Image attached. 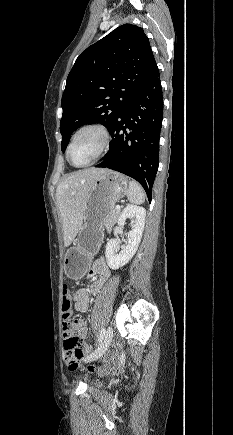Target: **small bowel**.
Segmentation results:
<instances>
[{
    "label": "small bowel",
    "instance_id": "c3829d8e",
    "mask_svg": "<svg viewBox=\"0 0 233 435\" xmlns=\"http://www.w3.org/2000/svg\"><path fill=\"white\" fill-rule=\"evenodd\" d=\"M110 273L106 265L105 259L99 257L92 265L87 277L92 280L89 287L77 289L71 299L74 303L75 310L85 312L88 310L91 303V296L98 295L103 286L107 283ZM68 325H73L80 330L81 336L85 339L88 336L89 329L85 325L84 320L74 318L72 320H64L63 328ZM87 351V347H83V352Z\"/></svg>",
    "mask_w": 233,
    "mask_h": 435
}]
</instances>
